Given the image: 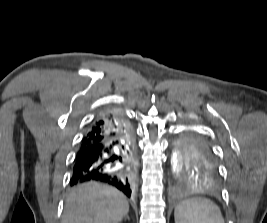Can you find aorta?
<instances>
[{
	"label": "aorta",
	"mask_w": 267,
	"mask_h": 223,
	"mask_svg": "<svg viewBox=\"0 0 267 223\" xmlns=\"http://www.w3.org/2000/svg\"><path fill=\"white\" fill-rule=\"evenodd\" d=\"M172 170L176 174L179 168V154L173 152L171 157Z\"/></svg>",
	"instance_id": "762f6f07"
}]
</instances>
